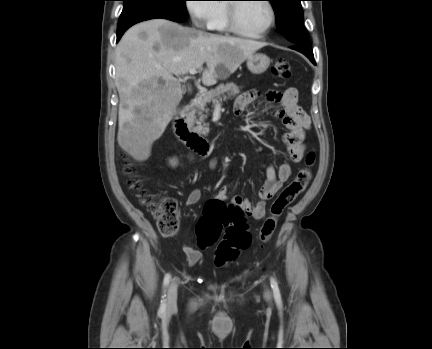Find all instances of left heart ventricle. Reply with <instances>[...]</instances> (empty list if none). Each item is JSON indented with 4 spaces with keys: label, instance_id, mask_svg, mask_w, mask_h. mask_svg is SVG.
I'll list each match as a JSON object with an SVG mask.
<instances>
[{
    "label": "left heart ventricle",
    "instance_id": "1",
    "mask_svg": "<svg viewBox=\"0 0 432 349\" xmlns=\"http://www.w3.org/2000/svg\"><path fill=\"white\" fill-rule=\"evenodd\" d=\"M239 26L250 33L263 31L270 20V11L264 2L241 3L237 8Z\"/></svg>",
    "mask_w": 432,
    "mask_h": 349
}]
</instances>
